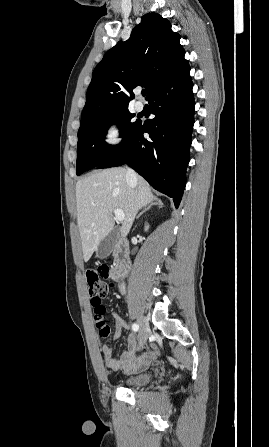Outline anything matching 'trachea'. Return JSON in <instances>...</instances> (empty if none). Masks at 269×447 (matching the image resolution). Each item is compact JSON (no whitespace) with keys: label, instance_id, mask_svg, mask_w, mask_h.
<instances>
[{"label":"trachea","instance_id":"3493384b","mask_svg":"<svg viewBox=\"0 0 269 447\" xmlns=\"http://www.w3.org/2000/svg\"><path fill=\"white\" fill-rule=\"evenodd\" d=\"M147 90H142V95H146Z\"/></svg>","mask_w":269,"mask_h":447}]
</instances>
